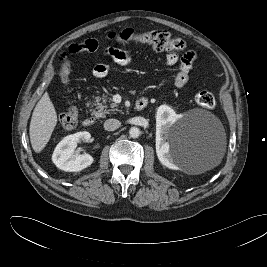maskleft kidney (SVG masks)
<instances>
[{
    "label": "left kidney",
    "instance_id": "5707ae66",
    "mask_svg": "<svg viewBox=\"0 0 267 267\" xmlns=\"http://www.w3.org/2000/svg\"><path fill=\"white\" fill-rule=\"evenodd\" d=\"M181 115L167 105H161L157 108L156 113V153L160 163L172 170H178L174 157L170 152V145L164 140L168 127L173 125Z\"/></svg>",
    "mask_w": 267,
    "mask_h": 267
}]
</instances>
